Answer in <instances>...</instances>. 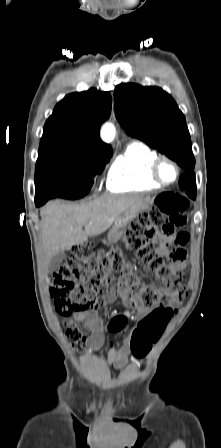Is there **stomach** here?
I'll list each match as a JSON object with an SVG mask.
<instances>
[{
	"label": "stomach",
	"instance_id": "stomach-1",
	"mask_svg": "<svg viewBox=\"0 0 221 448\" xmlns=\"http://www.w3.org/2000/svg\"><path fill=\"white\" fill-rule=\"evenodd\" d=\"M151 202H144L139 208L137 209H129L126 212H124L114 223L113 228L110 230L108 234V239L110 242H116L119 240L127 225L142 211L146 210Z\"/></svg>",
	"mask_w": 221,
	"mask_h": 448
}]
</instances>
